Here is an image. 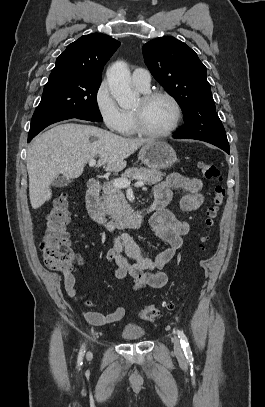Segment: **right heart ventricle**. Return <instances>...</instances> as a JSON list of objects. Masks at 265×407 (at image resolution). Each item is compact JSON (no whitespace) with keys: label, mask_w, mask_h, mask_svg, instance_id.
<instances>
[{"label":"right heart ventricle","mask_w":265,"mask_h":407,"mask_svg":"<svg viewBox=\"0 0 265 407\" xmlns=\"http://www.w3.org/2000/svg\"><path fill=\"white\" fill-rule=\"evenodd\" d=\"M124 117H125L124 125L119 133H121L124 136L135 135L136 132L133 127V119H132L131 111H124Z\"/></svg>","instance_id":"right-heart-ventricle-1"}]
</instances>
